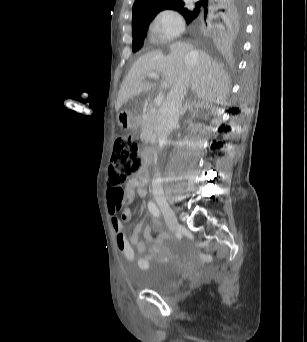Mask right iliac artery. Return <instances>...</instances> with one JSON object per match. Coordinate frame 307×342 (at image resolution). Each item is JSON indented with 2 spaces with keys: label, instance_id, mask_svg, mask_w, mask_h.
Here are the masks:
<instances>
[{
  "label": "right iliac artery",
  "instance_id": "right-iliac-artery-1",
  "mask_svg": "<svg viewBox=\"0 0 307 342\" xmlns=\"http://www.w3.org/2000/svg\"><path fill=\"white\" fill-rule=\"evenodd\" d=\"M148 209L155 217H157V218L161 217L159 209L157 208V206L152 201H150L148 203Z\"/></svg>",
  "mask_w": 307,
  "mask_h": 342
}]
</instances>
